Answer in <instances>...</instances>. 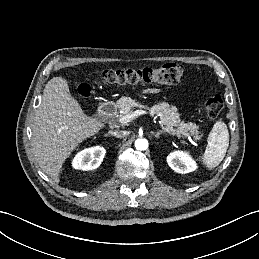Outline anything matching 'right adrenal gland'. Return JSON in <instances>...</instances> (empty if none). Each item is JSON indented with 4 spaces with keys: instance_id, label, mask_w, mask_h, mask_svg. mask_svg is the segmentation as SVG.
<instances>
[{
    "instance_id": "1",
    "label": "right adrenal gland",
    "mask_w": 259,
    "mask_h": 259,
    "mask_svg": "<svg viewBox=\"0 0 259 259\" xmlns=\"http://www.w3.org/2000/svg\"><path fill=\"white\" fill-rule=\"evenodd\" d=\"M104 136H105V137H108V134H105Z\"/></svg>"
}]
</instances>
